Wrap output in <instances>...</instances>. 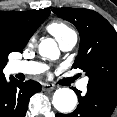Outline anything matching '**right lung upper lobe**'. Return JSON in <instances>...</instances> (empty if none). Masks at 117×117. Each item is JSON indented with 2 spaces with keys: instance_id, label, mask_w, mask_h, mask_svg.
Instances as JSON below:
<instances>
[{
  "instance_id": "1",
  "label": "right lung upper lobe",
  "mask_w": 117,
  "mask_h": 117,
  "mask_svg": "<svg viewBox=\"0 0 117 117\" xmlns=\"http://www.w3.org/2000/svg\"><path fill=\"white\" fill-rule=\"evenodd\" d=\"M49 14V9L0 11V33L8 39L7 48L0 47V80L5 79L3 68L8 61V54L22 51Z\"/></svg>"
}]
</instances>
